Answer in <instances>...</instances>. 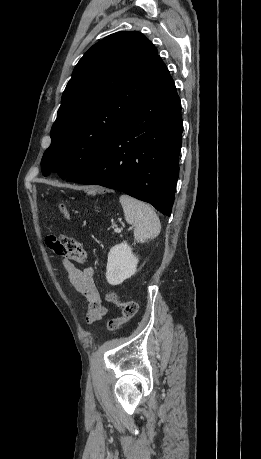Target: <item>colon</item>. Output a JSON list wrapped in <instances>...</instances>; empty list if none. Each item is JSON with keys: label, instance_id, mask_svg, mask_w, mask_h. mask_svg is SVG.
<instances>
[{"label": "colon", "instance_id": "obj_1", "mask_svg": "<svg viewBox=\"0 0 261 459\" xmlns=\"http://www.w3.org/2000/svg\"><path fill=\"white\" fill-rule=\"evenodd\" d=\"M58 209L65 219H69L70 213L64 203H59ZM105 298L107 302L114 304L122 309V315L120 317L112 318L108 321L107 326L111 331H115L120 326L129 322L138 311V304L135 301H120L115 292H107Z\"/></svg>", "mask_w": 261, "mask_h": 459}]
</instances>
